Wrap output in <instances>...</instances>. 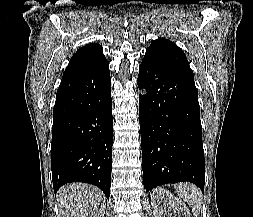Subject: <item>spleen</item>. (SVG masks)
I'll return each mask as SVG.
<instances>
[{
	"label": "spleen",
	"mask_w": 253,
	"mask_h": 217,
	"mask_svg": "<svg viewBox=\"0 0 253 217\" xmlns=\"http://www.w3.org/2000/svg\"><path fill=\"white\" fill-rule=\"evenodd\" d=\"M177 193L191 206L193 214L197 216L202 208L200 190L193 184L180 183L177 185Z\"/></svg>",
	"instance_id": "obj_1"
}]
</instances>
